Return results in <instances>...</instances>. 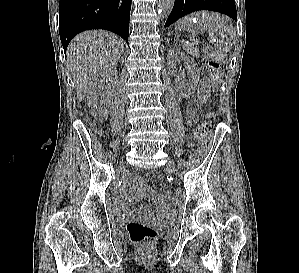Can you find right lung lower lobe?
Wrapping results in <instances>:
<instances>
[{
  "label": "right lung lower lobe",
  "instance_id": "obj_1",
  "mask_svg": "<svg viewBox=\"0 0 299 273\" xmlns=\"http://www.w3.org/2000/svg\"><path fill=\"white\" fill-rule=\"evenodd\" d=\"M131 0H60L59 33L66 50L71 39L90 29H105L128 43Z\"/></svg>",
  "mask_w": 299,
  "mask_h": 273
}]
</instances>
